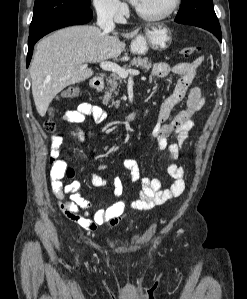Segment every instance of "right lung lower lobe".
Instances as JSON below:
<instances>
[{"label":"right lung lower lobe","instance_id":"98d812e1","mask_svg":"<svg viewBox=\"0 0 247 299\" xmlns=\"http://www.w3.org/2000/svg\"><path fill=\"white\" fill-rule=\"evenodd\" d=\"M92 19V10L90 8L74 10L64 13L47 23L43 24L39 28L29 31L28 38V54H27V67L29 66L34 44L46 34L69 25L84 24Z\"/></svg>","mask_w":247,"mask_h":299}]
</instances>
